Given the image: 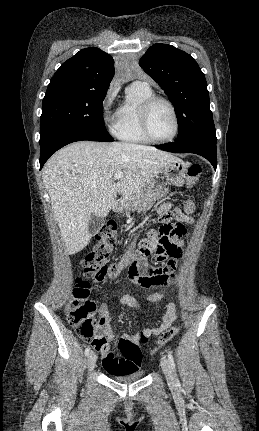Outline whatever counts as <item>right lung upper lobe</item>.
<instances>
[{"label":"right lung upper lobe","mask_w":259,"mask_h":431,"mask_svg":"<svg viewBox=\"0 0 259 431\" xmlns=\"http://www.w3.org/2000/svg\"><path fill=\"white\" fill-rule=\"evenodd\" d=\"M113 58L96 47L80 50L64 62L48 85L54 89L107 92L114 76Z\"/></svg>","instance_id":"obj_1"}]
</instances>
